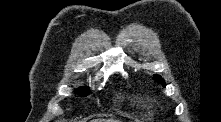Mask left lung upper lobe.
Segmentation results:
<instances>
[{"instance_id":"obj_1","label":"left lung upper lobe","mask_w":221,"mask_h":122,"mask_svg":"<svg viewBox=\"0 0 221 122\" xmlns=\"http://www.w3.org/2000/svg\"><path fill=\"white\" fill-rule=\"evenodd\" d=\"M155 80H157L160 84H162L163 86H165V82L163 80V78H161L159 75H154Z\"/></svg>"}]
</instances>
